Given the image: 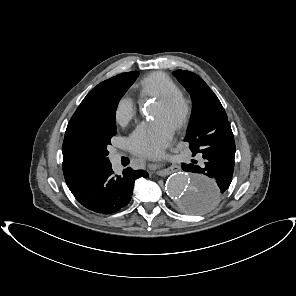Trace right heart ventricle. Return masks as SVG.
Wrapping results in <instances>:
<instances>
[{
  "label": "right heart ventricle",
  "mask_w": 296,
  "mask_h": 296,
  "mask_svg": "<svg viewBox=\"0 0 296 296\" xmlns=\"http://www.w3.org/2000/svg\"><path fill=\"white\" fill-rule=\"evenodd\" d=\"M139 97L158 98L163 95L180 92L178 84L167 74L153 72L144 76L138 84Z\"/></svg>",
  "instance_id": "e07e8e85"
}]
</instances>
